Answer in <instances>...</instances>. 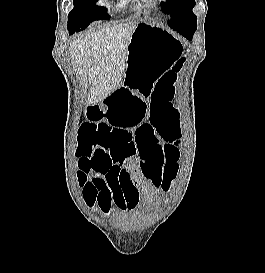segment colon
I'll list each match as a JSON object with an SVG mask.
<instances>
[{
	"instance_id": "1",
	"label": "colon",
	"mask_w": 265,
	"mask_h": 273,
	"mask_svg": "<svg viewBox=\"0 0 265 273\" xmlns=\"http://www.w3.org/2000/svg\"><path fill=\"white\" fill-rule=\"evenodd\" d=\"M184 62L180 58L173 69L165 72L155 85L152 93V105L148 109L149 127L159 132L158 138L163 139L164 165L161 173H153L154 183L167 190L171 182L176 178L179 169L181 152L177 146H181V124L177 109L173 106L172 100L175 95V81L177 72ZM91 124V123H85ZM113 124V123H109ZM110 144L109 129H79L78 131V155L80 157L79 167L81 180L83 174L91 168L105 170L107 159L106 148ZM86 157L92 159L89 164ZM87 193H93L92 185L86 183Z\"/></svg>"
}]
</instances>
